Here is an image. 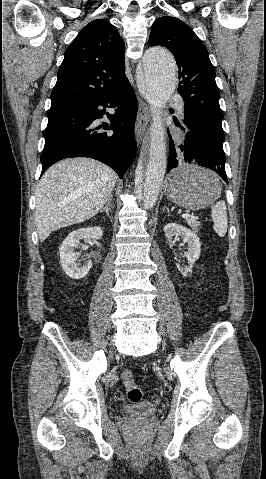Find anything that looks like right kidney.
Masks as SVG:
<instances>
[{"label":"right kidney","mask_w":266,"mask_h":479,"mask_svg":"<svg viewBox=\"0 0 266 479\" xmlns=\"http://www.w3.org/2000/svg\"><path fill=\"white\" fill-rule=\"evenodd\" d=\"M103 231L101 227L80 228L71 232L63 241L60 252V264L65 273L72 279L84 278L92 267L89 261L81 266L76 263L77 256L74 249L78 246L81 239H101Z\"/></svg>","instance_id":"1"}]
</instances>
